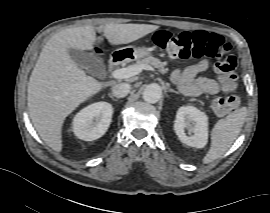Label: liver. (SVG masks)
<instances>
[{"label": "liver", "mask_w": 270, "mask_h": 213, "mask_svg": "<svg viewBox=\"0 0 270 213\" xmlns=\"http://www.w3.org/2000/svg\"><path fill=\"white\" fill-rule=\"evenodd\" d=\"M159 26L148 24H107L64 29L42 48L28 84V109L34 128L54 151L62 150V126L81 103L113 81L99 82L79 68L68 50H92L96 32H103L112 45L136 41Z\"/></svg>", "instance_id": "6515ba94"}]
</instances>
